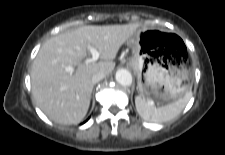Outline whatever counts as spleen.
Returning <instances> with one entry per match:
<instances>
[{"mask_svg": "<svg viewBox=\"0 0 225 155\" xmlns=\"http://www.w3.org/2000/svg\"><path fill=\"white\" fill-rule=\"evenodd\" d=\"M191 96L192 92L189 90L184 97L178 99L177 101L164 106L156 107L153 101L139 95L135 98V105L137 112L143 120L154 123H162L177 117L183 111Z\"/></svg>", "mask_w": 225, "mask_h": 155, "instance_id": "1", "label": "spleen"}]
</instances>
